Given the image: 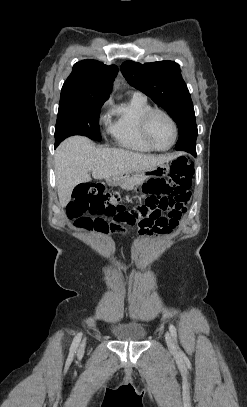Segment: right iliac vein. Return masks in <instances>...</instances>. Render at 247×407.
<instances>
[{
	"instance_id": "right-iliac-vein-1",
	"label": "right iliac vein",
	"mask_w": 247,
	"mask_h": 407,
	"mask_svg": "<svg viewBox=\"0 0 247 407\" xmlns=\"http://www.w3.org/2000/svg\"><path fill=\"white\" fill-rule=\"evenodd\" d=\"M86 346V340H83L82 344L80 345L79 349H78V353H83L84 349Z\"/></svg>"
}]
</instances>
